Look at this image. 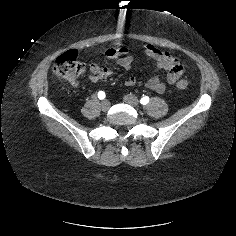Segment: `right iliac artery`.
<instances>
[{
  "label": "right iliac artery",
  "instance_id": "1",
  "mask_svg": "<svg viewBox=\"0 0 236 236\" xmlns=\"http://www.w3.org/2000/svg\"><path fill=\"white\" fill-rule=\"evenodd\" d=\"M105 92L104 91H99L98 92V98L100 99V100H103L104 98H105Z\"/></svg>",
  "mask_w": 236,
  "mask_h": 236
}]
</instances>
